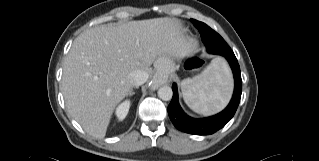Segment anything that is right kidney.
Returning a JSON list of instances; mask_svg holds the SVG:
<instances>
[{"mask_svg":"<svg viewBox=\"0 0 319 161\" xmlns=\"http://www.w3.org/2000/svg\"><path fill=\"white\" fill-rule=\"evenodd\" d=\"M130 108V101H124L122 102L117 108H116V116L119 120H123L129 111Z\"/></svg>","mask_w":319,"mask_h":161,"instance_id":"1","label":"right kidney"}]
</instances>
